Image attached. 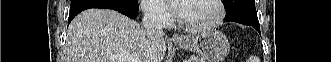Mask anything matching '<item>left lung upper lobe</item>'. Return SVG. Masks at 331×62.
I'll return each instance as SVG.
<instances>
[{
    "label": "left lung upper lobe",
    "instance_id": "obj_1",
    "mask_svg": "<svg viewBox=\"0 0 331 62\" xmlns=\"http://www.w3.org/2000/svg\"><path fill=\"white\" fill-rule=\"evenodd\" d=\"M226 8V17L247 16L257 18L255 0H223Z\"/></svg>",
    "mask_w": 331,
    "mask_h": 62
}]
</instances>
